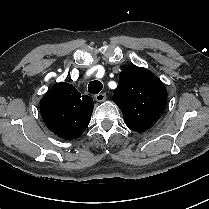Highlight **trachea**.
<instances>
[{
	"mask_svg": "<svg viewBox=\"0 0 209 209\" xmlns=\"http://www.w3.org/2000/svg\"><path fill=\"white\" fill-rule=\"evenodd\" d=\"M102 88L103 85L99 80L91 81L88 85V91L91 94H98L102 90Z\"/></svg>",
	"mask_w": 209,
	"mask_h": 209,
	"instance_id": "trachea-1",
	"label": "trachea"
}]
</instances>
